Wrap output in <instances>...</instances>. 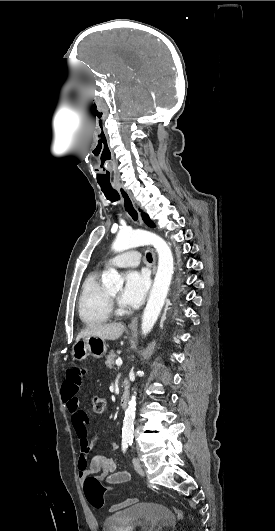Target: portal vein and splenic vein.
Segmentation results:
<instances>
[{
  "instance_id": "18ae733b",
  "label": "portal vein and splenic vein",
  "mask_w": 275,
  "mask_h": 531,
  "mask_svg": "<svg viewBox=\"0 0 275 531\" xmlns=\"http://www.w3.org/2000/svg\"><path fill=\"white\" fill-rule=\"evenodd\" d=\"M116 365H117V367H121L122 359H116Z\"/></svg>"
}]
</instances>
